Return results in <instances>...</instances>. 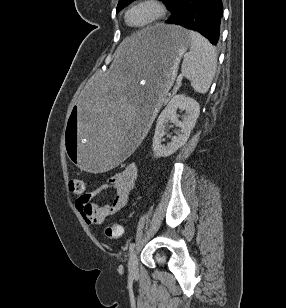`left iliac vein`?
Segmentation results:
<instances>
[{
  "label": "left iliac vein",
  "mask_w": 286,
  "mask_h": 308,
  "mask_svg": "<svg viewBox=\"0 0 286 308\" xmlns=\"http://www.w3.org/2000/svg\"><path fill=\"white\" fill-rule=\"evenodd\" d=\"M128 270L131 276H135L138 273V261H137V253L132 251L128 261Z\"/></svg>",
  "instance_id": "1"
}]
</instances>
